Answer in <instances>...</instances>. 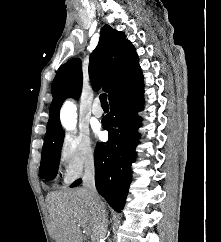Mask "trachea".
<instances>
[{
  "mask_svg": "<svg viewBox=\"0 0 221 242\" xmlns=\"http://www.w3.org/2000/svg\"><path fill=\"white\" fill-rule=\"evenodd\" d=\"M100 102H101L102 107L108 106L107 95L105 93L100 95Z\"/></svg>",
  "mask_w": 221,
  "mask_h": 242,
  "instance_id": "1",
  "label": "trachea"
}]
</instances>
